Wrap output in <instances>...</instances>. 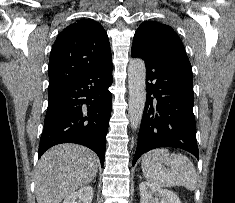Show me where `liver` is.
Segmentation results:
<instances>
[{
  "label": "liver",
  "mask_w": 235,
  "mask_h": 203,
  "mask_svg": "<svg viewBox=\"0 0 235 203\" xmlns=\"http://www.w3.org/2000/svg\"><path fill=\"white\" fill-rule=\"evenodd\" d=\"M98 157L77 144H60L40 158L35 176L37 203H60L89 184L98 171Z\"/></svg>",
  "instance_id": "liver-1"
}]
</instances>
